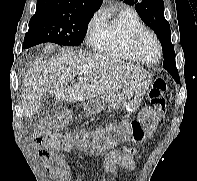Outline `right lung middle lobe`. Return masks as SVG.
I'll list each match as a JSON object with an SVG mask.
<instances>
[{"instance_id":"dd1d6c3e","label":"right lung middle lobe","mask_w":197,"mask_h":181,"mask_svg":"<svg viewBox=\"0 0 197 181\" xmlns=\"http://www.w3.org/2000/svg\"><path fill=\"white\" fill-rule=\"evenodd\" d=\"M93 14L68 15L36 11L30 19L24 46L29 48L44 42L67 46L81 45Z\"/></svg>"}]
</instances>
